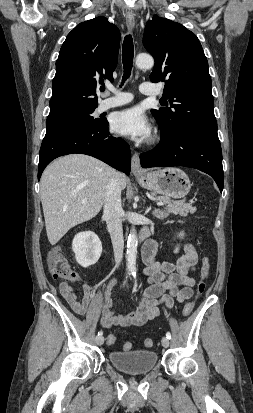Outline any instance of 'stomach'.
Returning a JSON list of instances; mask_svg holds the SVG:
<instances>
[{
    "label": "stomach",
    "instance_id": "0dacf381",
    "mask_svg": "<svg viewBox=\"0 0 253 413\" xmlns=\"http://www.w3.org/2000/svg\"><path fill=\"white\" fill-rule=\"evenodd\" d=\"M137 180L143 188L151 190L153 193L176 199L185 197L191 188L186 173L175 167L147 172L137 176Z\"/></svg>",
    "mask_w": 253,
    "mask_h": 413
}]
</instances>
